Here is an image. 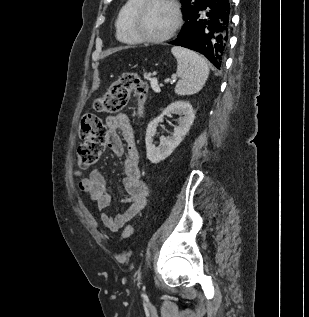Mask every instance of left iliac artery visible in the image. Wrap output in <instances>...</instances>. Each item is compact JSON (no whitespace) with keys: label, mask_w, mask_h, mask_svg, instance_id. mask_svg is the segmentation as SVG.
I'll use <instances>...</instances> for the list:
<instances>
[{"label":"left iliac artery","mask_w":309,"mask_h":317,"mask_svg":"<svg viewBox=\"0 0 309 317\" xmlns=\"http://www.w3.org/2000/svg\"><path fill=\"white\" fill-rule=\"evenodd\" d=\"M138 279H139V284H140V280H141V272L139 271V274H138Z\"/></svg>","instance_id":"obj_1"}]
</instances>
